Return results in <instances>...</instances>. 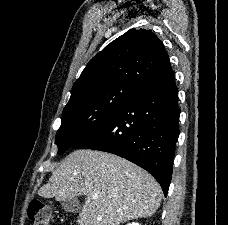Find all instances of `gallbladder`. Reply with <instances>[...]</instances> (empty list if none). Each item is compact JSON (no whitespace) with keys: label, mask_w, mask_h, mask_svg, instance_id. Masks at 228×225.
I'll use <instances>...</instances> for the list:
<instances>
[{"label":"gallbladder","mask_w":228,"mask_h":225,"mask_svg":"<svg viewBox=\"0 0 228 225\" xmlns=\"http://www.w3.org/2000/svg\"><path fill=\"white\" fill-rule=\"evenodd\" d=\"M61 207H63L64 211H68V213H80L82 209V205L80 201H78L77 197L61 201Z\"/></svg>","instance_id":"bac80fb5"}]
</instances>
